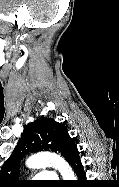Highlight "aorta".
<instances>
[{
  "label": "aorta",
  "instance_id": "obj_1",
  "mask_svg": "<svg viewBox=\"0 0 119 187\" xmlns=\"http://www.w3.org/2000/svg\"><path fill=\"white\" fill-rule=\"evenodd\" d=\"M26 165L29 168H34V169L46 167V166H52L61 173L63 180H76V176L72 168L65 161V159L54 153H48V152L37 153L31 156L26 161Z\"/></svg>",
  "mask_w": 119,
  "mask_h": 187
}]
</instances>
